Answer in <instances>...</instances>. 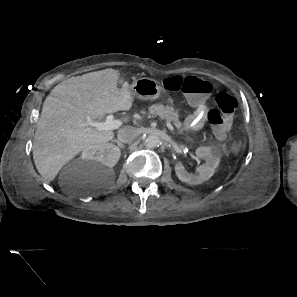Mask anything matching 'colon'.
Masks as SVG:
<instances>
[{"label": "colon", "instance_id": "5ec220e1", "mask_svg": "<svg viewBox=\"0 0 297 297\" xmlns=\"http://www.w3.org/2000/svg\"><path fill=\"white\" fill-rule=\"evenodd\" d=\"M163 86L167 90L185 94L196 103L209 97L213 92V85L210 81L195 76L167 77L163 80ZM215 105L216 107L208 113V121L214 136L218 140H224L232 127L238 101L229 93L220 91L215 97Z\"/></svg>", "mask_w": 297, "mask_h": 297}]
</instances>
